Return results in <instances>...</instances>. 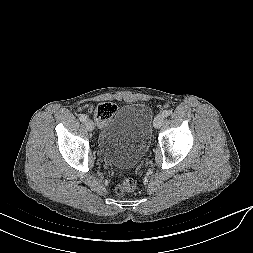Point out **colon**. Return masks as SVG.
Here are the masks:
<instances>
[{"instance_id":"1","label":"colon","mask_w":253,"mask_h":253,"mask_svg":"<svg viewBox=\"0 0 253 253\" xmlns=\"http://www.w3.org/2000/svg\"><path fill=\"white\" fill-rule=\"evenodd\" d=\"M116 106L110 102H104L99 104L94 110L93 114L95 119L100 123H105L115 112ZM135 189V182L132 179H125L118 183L116 186V193L119 195H125L132 192Z\"/></svg>"}]
</instances>
